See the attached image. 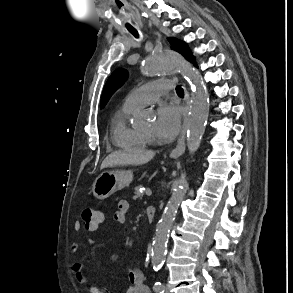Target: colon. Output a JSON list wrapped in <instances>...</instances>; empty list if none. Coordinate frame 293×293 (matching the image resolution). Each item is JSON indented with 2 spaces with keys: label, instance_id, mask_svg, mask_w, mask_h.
Returning a JSON list of instances; mask_svg holds the SVG:
<instances>
[{
  "label": "colon",
  "instance_id": "1",
  "mask_svg": "<svg viewBox=\"0 0 293 293\" xmlns=\"http://www.w3.org/2000/svg\"><path fill=\"white\" fill-rule=\"evenodd\" d=\"M84 226L88 229H96L101 222V212L92 208H85L81 213Z\"/></svg>",
  "mask_w": 293,
  "mask_h": 293
}]
</instances>
